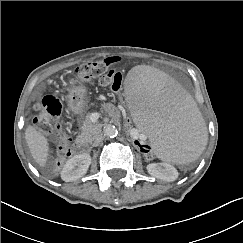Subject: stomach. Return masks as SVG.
Listing matches in <instances>:
<instances>
[{
	"mask_svg": "<svg viewBox=\"0 0 243 243\" xmlns=\"http://www.w3.org/2000/svg\"><path fill=\"white\" fill-rule=\"evenodd\" d=\"M85 88L83 86L73 87L67 95V103L74 113H82L84 110Z\"/></svg>",
	"mask_w": 243,
	"mask_h": 243,
	"instance_id": "obj_1",
	"label": "stomach"
}]
</instances>
